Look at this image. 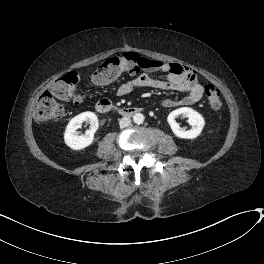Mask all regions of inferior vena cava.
Returning a JSON list of instances; mask_svg holds the SVG:
<instances>
[{
  "instance_id": "obj_1",
  "label": "inferior vena cava",
  "mask_w": 264,
  "mask_h": 264,
  "mask_svg": "<svg viewBox=\"0 0 264 264\" xmlns=\"http://www.w3.org/2000/svg\"><path fill=\"white\" fill-rule=\"evenodd\" d=\"M131 124V120L128 117H122L119 119V125L122 128L128 127Z\"/></svg>"
}]
</instances>
